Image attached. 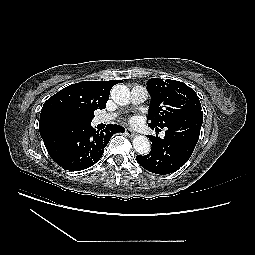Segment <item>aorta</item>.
I'll use <instances>...</instances> for the list:
<instances>
[{
  "label": "aorta",
  "mask_w": 255,
  "mask_h": 255,
  "mask_svg": "<svg viewBox=\"0 0 255 255\" xmlns=\"http://www.w3.org/2000/svg\"><path fill=\"white\" fill-rule=\"evenodd\" d=\"M111 98L118 105L125 106L129 103L130 91L127 86L117 84L111 90ZM133 147L140 155H146L150 152L151 145L146 136L137 135L133 139Z\"/></svg>",
  "instance_id": "1"
}]
</instances>
